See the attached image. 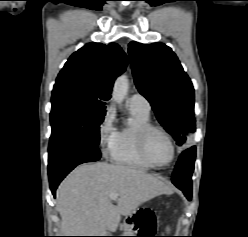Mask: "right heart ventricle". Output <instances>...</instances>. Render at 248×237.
<instances>
[{"label":"right heart ventricle","mask_w":248,"mask_h":237,"mask_svg":"<svg viewBox=\"0 0 248 237\" xmlns=\"http://www.w3.org/2000/svg\"><path fill=\"white\" fill-rule=\"evenodd\" d=\"M129 110L132 121L117 130L111 160L117 164L147 170L152 167L140 155L136 136L142 126L150 124V112L130 106Z\"/></svg>","instance_id":"obj_1"}]
</instances>
